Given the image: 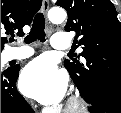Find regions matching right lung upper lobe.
<instances>
[{
  "instance_id": "1",
  "label": "right lung upper lobe",
  "mask_w": 121,
  "mask_h": 113,
  "mask_svg": "<svg viewBox=\"0 0 121 113\" xmlns=\"http://www.w3.org/2000/svg\"><path fill=\"white\" fill-rule=\"evenodd\" d=\"M42 0H1V32L23 34L22 28L32 22ZM1 37V51L6 43Z\"/></svg>"
}]
</instances>
